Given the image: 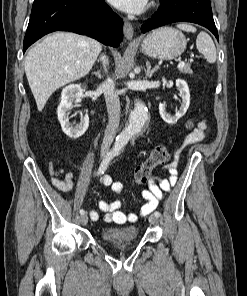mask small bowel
I'll return each instance as SVG.
<instances>
[{
    "mask_svg": "<svg viewBox=\"0 0 247 296\" xmlns=\"http://www.w3.org/2000/svg\"><path fill=\"white\" fill-rule=\"evenodd\" d=\"M207 125L205 121L199 123L198 128L190 133L186 140V144L195 143L201 141L206 133ZM169 173L168 179H162L156 182L155 180H150L149 188L142 191V197L146 203L142 206L141 213L147 215L151 213L157 206L158 201L162 198L163 192H169L170 189L176 183V162H172L166 167ZM74 180V174L72 172H66L63 179H52V185L63 192H67L72 189ZM100 184L108 186L111 188L112 192L116 195H121L124 191V186L121 182L114 181L110 175L103 174L99 178ZM98 208L104 213L102 221L106 224H126L132 223L137 220L135 214H126L122 211V203L118 200L107 202L101 200L98 202ZM89 216L93 221L99 219V213L95 209L89 210Z\"/></svg>",
    "mask_w": 247,
    "mask_h": 296,
    "instance_id": "c3829d8e",
    "label": "small bowel"
}]
</instances>
